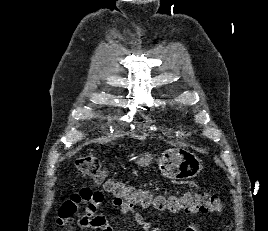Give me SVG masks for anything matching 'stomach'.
<instances>
[{"mask_svg": "<svg viewBox=\"0 0 268 231\" xmlns=\"http://www.w3.org/2000/svg\"><path fill=\"white\" fill-rule=\"evenodd\" d=\"M152 160L153 155L145 152L137 157L136 163L140 167H145ZM158 166L162 175L171 180L194 178L203 169L202 161L194 153L183 148L165 150L158 158Z\"/></svg>", "mask_w": 268, "mask_h": 231, "instance_id": "obj_1", "label": "stomach"}]
</instances>
